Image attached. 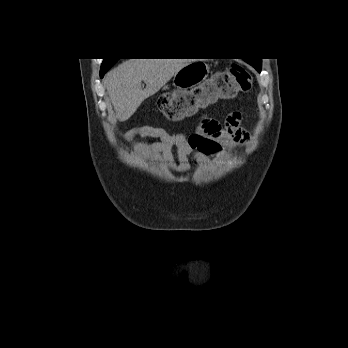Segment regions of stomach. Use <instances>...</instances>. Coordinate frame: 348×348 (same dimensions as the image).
Here are the masks:
<instances>
[{
  "instance_id": "0dacf381",
  "label": "stomach",
  "mask_w": 348,
  "mask_h": 348,
  "mask_svg": "<svg viewBox=\"0 0 348 348\" xmlns=\"http://www.w3.org/2000/svg\"><path fill=\"white\" fill-rule=\"evenodd\" d=\"M208 74L209 67L202 61L191 62L175 73L173 85L182 95L184 116H191L200 108H206L215 101V99L206 97L202 92L189 91V89L200 85L207 78Z\"/></svg>"
}]
</instances>
